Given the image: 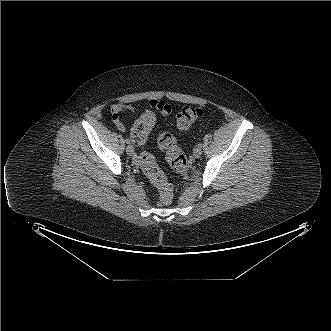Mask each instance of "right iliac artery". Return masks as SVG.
Returning <instances> with one entry per match:
<instances>
[{
  "label": "right iliac artery",
  "mask_w": 331,
  "mask_h": 331,
  "mask_svg": "<svg viewBox=\"0 0 331 331\" xmlns=\"http://www.w3.org/2000/svg\"><path fill=\"white\" fill-rule=\"evenodd\" d=\"M125 142H126L127 144H130V143H131L130 139H126Z\"/></svg>",
  "instance_id": "obj_1"
}]
</instances>
